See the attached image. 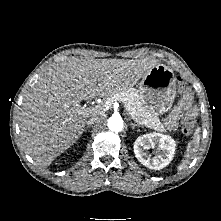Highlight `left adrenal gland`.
I'll use <instances>...</instances> for the list:
<instances>
[{
    "mask_svg": "<svg viewBox=\"0 0 221 221\" xmlns=\"http://www.w3.org/2000/svg\"><path fill=\"white\" fill-rule=\"evenodd\" d=\"M131 128L134 130L135 127H141L139 124L130 123Z\"/></svg>",
    "mask_w": 221,
    "mask_h": 221,
    "instance_id": "left-adrenal-gland-1",
    "label": "left adrenal gland"
}]
</instances>
